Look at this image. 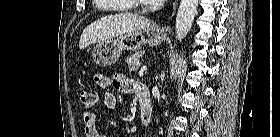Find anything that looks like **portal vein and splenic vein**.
<instances>
[{"label":"portal vein and splenic vein","instance_id":"portal-vein-and-splenic-vein-1","mask_svg":"<svg viewBox=\"0 0 280 137\" xmlns=\"http://www.w3.org/2000/svg\"><path fill=\"white\" fill-rule=\"evenodd\" d=\"M146 70H147L146 66L141 67V69L139 71V74H143V72L146 71Z\"/></svg>","mask_w":280,"mask_h":137}]
</instances>
